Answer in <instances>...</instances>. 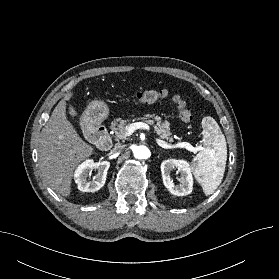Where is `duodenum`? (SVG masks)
I'll return each mask as SVG.
<instances>
[{
	"mask_svg": "<svg viewBox=\"0 0 279 279\" xmlns=\"http://www.w3.org/2000/svg\"><path fill=\"white\" fill-rule=\"evenodd\" d=\"M85 132L100 150L107 151L112 147V139L103 125L88 123Z\"/></svg>",
	"mask_w": 279,
	"mask_h": 279,
	"instance_id": "410a0bca",
	"label": "duodenum"
}]
</instances>
